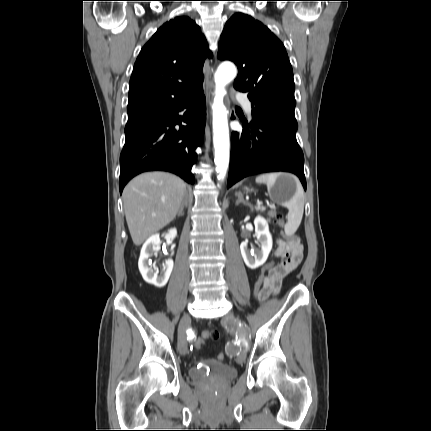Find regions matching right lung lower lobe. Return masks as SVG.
<instances>
[{"instance_id": "1", "label": "right lung lower lobe", "mask_w": 431, "mask_h": 431, "mask_svg": "<svg viewBox=\"0 0 431 431\" xmlns=\"http://www.w3.org/2000/svg\"><path fill=\"white\" fill-rule=\"evenodd\" d=\"M205 122L202 87L172 108L128 119L120 155V193L131 178L145 171H169L194 184L191 169L197 162L195 149L202 144Z\"/></svg>"}]
</instances>
